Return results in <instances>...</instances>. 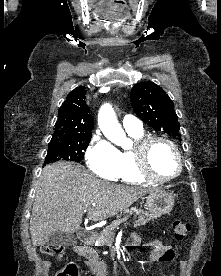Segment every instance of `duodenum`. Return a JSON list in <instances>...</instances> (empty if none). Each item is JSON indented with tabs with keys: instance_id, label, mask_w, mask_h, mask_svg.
<instances>
[{
	"instance_id": "obj_1",
	"label": "duodenum",
	"mask_w": 221,
	"mask_h": 276,
	"mask_svg": "<svg viewBox=\"0 0 221 276\" xmlns=\"http://www.w3.org/2000/svg\"><path fill=\"white\" fill-rule=\"evenodd\" d=\"M78 237L85 247L87 245H90L92 242V234L89 230L85 228H82L78 231Z\"/></svg>"
}]
</instances>
